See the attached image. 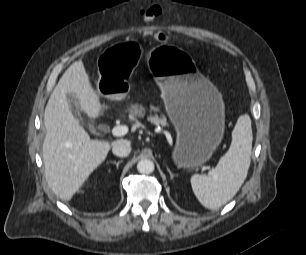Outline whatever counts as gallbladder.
Wrapping results in <instances>:
<instances>
[{
    "mask_svg": "<svg viewBox=\"0 0 306 255\" xmlns=\"http://www.w3.org/2000/svg\"><path fill=\"white\" fill-rule=\"evenodd\" d=\"M68 101H69L70 108H71L74 116L77 119H80L81 118V115L79 113L80 105H79L78 100L76 98L72 97L71 95H68Z\"/></svg>",
    "mask_w": 306,
    "mask_h": 255,
    "instance_id": "obj_1",
    "label": "gallbladder"
}]
</instances>
